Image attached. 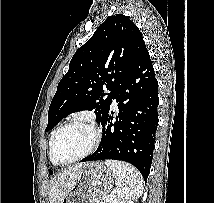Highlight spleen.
Here are the masks:
<instances>
[{"instance_id": "obj_1", "label": "spleen", "mask_w": 214, "mask_h": 203, "mask_svg": "<svg viewBox=\"0 0 214 203\" xmlns=\"http://www.w3.org/2000/svg\"><path fill=\"white\" fill-rule=\"evenodd\" d=\"M105 165L115 174L116 203H120L123 199H138L142 195L143 178L138 170L129 164L115 160H106Z\"/></svg>"}]
</instances>
